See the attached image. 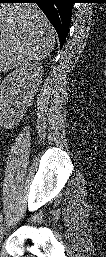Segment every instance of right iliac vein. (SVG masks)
<instances>
[{"label": "right iliac vein", "instance_id": "obj_1", "mask_svg": "<svg viewBox=\"0 0 106 257\" xmlns=\"http://www.w3.org/2000/svg\"><path fill=\"white\" fill-rule=\"evenodd\" d=\"M3 227H1V233H2Z\"/></svg>", "mask_w": 106, "mask_h": 257}]
</instances>
